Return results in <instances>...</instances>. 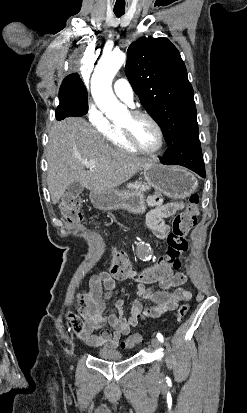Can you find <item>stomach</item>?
I'll list each match as a JSON object with an SVG mask.
<instances>
[{
    "mask_svg": "<svg viewBox=\"0 0 247 413\" xmlns=\"http://www.w3.org/2000/svg\"><path fill=\"white\" fill-rule=\"evenodd\" d=\"M143 176L148 184L157 188L169 198H186L195 192L198 180L183 166L176 164H160V162H149L142 168ZM90 200L100 211H114V209H125L130 213H145V194L141 190H102L95 192L91 190Z\"/></svg>",
    "mask_w": 247,
    "mask_h": 413,
    "instance_id": "stomach-1",
    "label": "stomach"
}]
</instances>
